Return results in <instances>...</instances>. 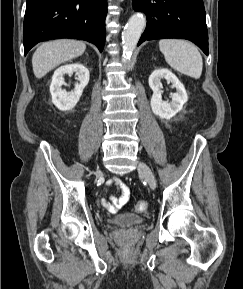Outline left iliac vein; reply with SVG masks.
<instances>
[{"label":"left iliac vein","mask_w":243,"mask_h":289,"mask_svg":"<svg viewBox=\"0 0 243 289\" xmlns=\"http://www.w3.org/2000/svg\"><path fill=\"white\" fill-rule=\"evenodd\" d=\"M138 172L146 180L151 189H156V180L150 167L144 162H139Z\"/></svg>","instance_id":"1"}]
</instances>
